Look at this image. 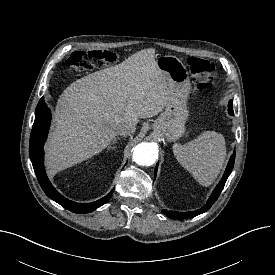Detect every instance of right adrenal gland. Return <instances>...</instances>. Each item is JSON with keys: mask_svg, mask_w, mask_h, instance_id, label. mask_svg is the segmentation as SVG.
I'll return each instance as SVG.
<instances>
[{"mask_svg": "<svg viewBox=\"0 0 275 275\" xmlns=\"http://www.w3.org/2000/svg\"><path fill=\"white\" fill-rule=\"evenodd\" d=\"M118 140H120V138H115V139L113 140V142H112V145H113V146H109V147H108V150L117 148V147L115 146V144L117 143Z\"/></svg>", "mask_w": 275, "mask_h": 275, "instance_id": "2a0ac1e0", "label": "right adrenal gland"}]
</instances>
